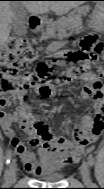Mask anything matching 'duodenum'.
<instances>
[{"label": "duodenum", "mask_w": 104, "mask_h": 189, "mask_svg": "<svg viewBox=\"0 0 104 189\" xmlns=\"http://www.w3.org/2000/svg\"><path fill=\"white\" fill-rule=\"evenodd\" d=\"M45 23H46L45 20L39 19L34 16L29 19V27L35 33L41 32Z\"/></svg>", "instance_id": "obj_1"}]
</instances>
